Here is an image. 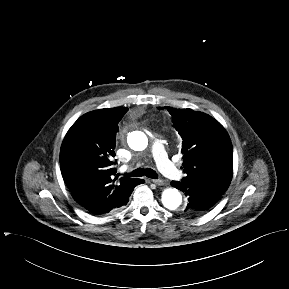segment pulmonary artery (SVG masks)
<instances>
[{"instance_id": "1", "label": "pulmonary artery", "mask_w": 289, "mask_h": 289, "mask_svg": "<svg viewBox=\"0 0 289 289\" xmlns=\"http://www.w3.org/2000/svg\"><path fill=\"white\" fill-rule=\"evenodd\" d=\"M152 153L159 170L172 180H180L183 173L168 159L161 141L156 140L152 146Z\"/></svg>"}]
</instances>
